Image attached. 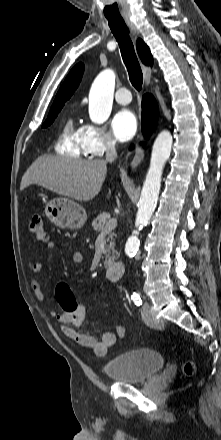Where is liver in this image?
<instances>
[{
  "label": "liver",
  "mask_w": 221,
  "mask_h": 440,
  "mask_svg": "<svg viewBox=\"0 0 221 440\" xmlns=\"http://www.w3.org/2000/svg\"><path fill=\"white\" fill-rule=\"evenodd\" d=\"M106 173L105 160L44 155L38 157L25 172L20 189L36 184L59 195L86 202L98 195ZM110 194L109 190L108 197Z\"/></svg>",
  "instance_id": "obj_1"
}]
</instances>
